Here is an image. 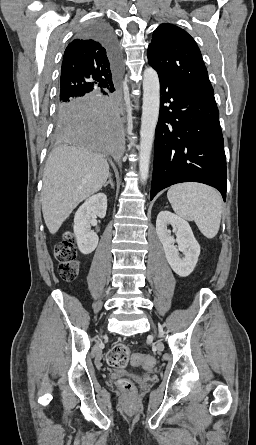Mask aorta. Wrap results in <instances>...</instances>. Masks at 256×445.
I'll return each instance as SVG.
<instances>
[{"instance_id":"obj_1","label":"aorta","mask_w":256,"mask_h":445,"mask_svg":"<svg viewBox=\"0 0 256 445\" xmlns=\"http://www.w3.org/2000/svg\"><path fill=\"white\" fill-rule=\"evenodd\" d=\"M160 108V84L157 72L148 67L143 73V106L140 130L139 174L145 183L149 174L155 128Z\"/></svg>"}]
</instances>
